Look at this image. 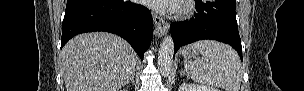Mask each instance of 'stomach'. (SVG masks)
<instances>
[{"mask_svg":"<svg viewBox=\"0 0 304 91\" xmlns=\"http://www.w3.org/2000/svg\"><path fill=\"white\" fill-rule=\"evenodd\" d=\"M199 54V51L193 48L192 45L186 46L182 50V55L184 59L186 58L188 61H191L192 59L196 58L197 55Z\"/></svg>","mask_w":304,"mask_h":91,"instance_id":"obj_1","label":"stomach"}]
</instances>
